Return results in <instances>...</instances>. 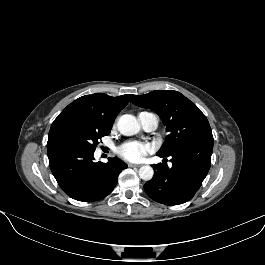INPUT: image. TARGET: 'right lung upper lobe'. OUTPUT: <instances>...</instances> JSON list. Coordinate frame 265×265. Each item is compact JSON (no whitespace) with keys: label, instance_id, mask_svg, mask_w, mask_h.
Instances as JSON below:
<instances>
[{"label":"right lung upper lobe","instance_id":"1","mask_svg":"<svg viewBox=\"0 0 265 265\" xmlns=\"http://www.w3.org/2000/svg\"><path fill=\"white\" fill-rule=\"evenodd\" d=\"M132 96L128 94L111 97L103 93L82 96L69 104L52 126L66 120H79L99 128L111 129L116 116Z\"/></svg>","mask_w":265,"mask_h":265}]
</instances>
